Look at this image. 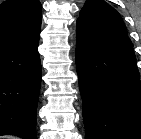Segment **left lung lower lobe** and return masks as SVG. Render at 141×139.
I'll return each instance as SVG.
<instances>
[{
  "label": "left lung lower lobe",
  "instance_id": "obj_1",
  "mask_svg": "<svg viewBox=\"0 0 141 139\" xmlns=\"http://www.w3.org/2000/svg\"><path fill=\"white\" fill-rule=\"evenodd\" d=\"M86 139H141V85L128 36L76 24Z\"/></svg>",
  "mask_w": 141,
  "mask_h": 139
}]
</instances>
